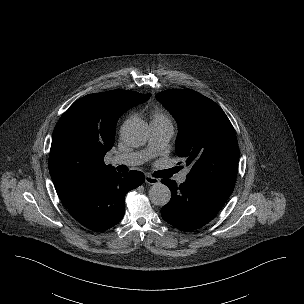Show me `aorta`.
<instances>
[{
    "instance_id": "1",
    "label": "aorta",
    "mask_w": 304,
    "mask_h": 304,
    "mask_svg": "<svg viewBox=\"0 0 304 304\" xmlns=\"http://www.w3.org/2000/svg\"><path fill=\"white\" fill-rule=\"evenodd\" d=\"M121 134L127 145L138 147L147 141L149 128L141 120H130L122 127ZM149 198L154 205L164 206L171 199V191L162 183H154L149 190Z\"/></svg>"
}]
</instances>
